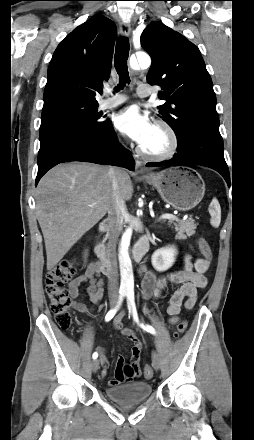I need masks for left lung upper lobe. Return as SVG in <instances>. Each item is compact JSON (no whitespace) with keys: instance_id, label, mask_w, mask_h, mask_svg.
I'll return each instance as SVG.
<instances>
[{"instance_id":"1","label":"left lung upper lobe","mask_w":254,"mask_h":440,"mask_svg":"<svg viewBox=\"0 0 254 440\" xmlns=\"http://www.w3.org/2000/svg\"><path fill=\"white\" fill-rule=\"evenodd\" d=\"M141 46L151 56L147 74L151 85L162 88L160 116L174 130L178 145H186L197 129L219 131L216 95L197 46L163 23H151L141 35Z\"/></svg>"}]
</instances>
